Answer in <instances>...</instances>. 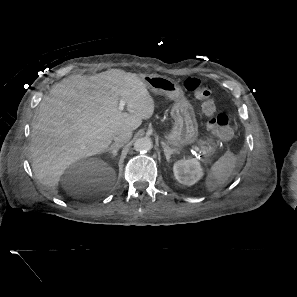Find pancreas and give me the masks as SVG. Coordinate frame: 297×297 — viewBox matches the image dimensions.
<instances>
[{
	"instance_id": "1",
	"label": "pancreas",
	"mask_w": 297,
	"mask_h": 297,
	"mask_svg": "<svg viewBox=\"0 0 297 297\" xmlns=\"http://www.w3.org/2000/svg\"><path fill=\"white\" fill-rule=\"evenodd\" d=\"M205 144H206V142H204V141H200V142H199V146L201 147V149L204 151V153H205L206 155H210V154H212V151H211V150H207Z\"/></svg>"
}]
</instances>
